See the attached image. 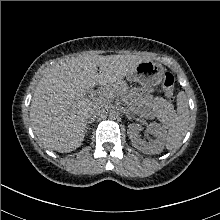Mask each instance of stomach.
<instances>
[{"label": "stomach", "instance_id": "1", "mask_svg": "<svg viewBox=\"0 0 220 220\" xmlns=\"http://www.w3.org/2000/svg\"><path fill=\"white\" fill-rule=\"evenodd\" d=\"M164 67L154 61L145 60L139 63L126 78L130 82H138L142 86H155L161 83Z\"/></svg>", "mask_w": 220, "mask_h": 220}]
</instances>
